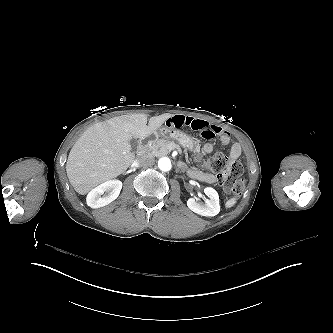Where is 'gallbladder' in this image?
Listing matches in <instances>:
<instances>
[{"mask_svg":"<svg viewBox=\"0 0 333 333\" xmlns=\"http://www.w3.org/2000/svg\"><path fill=\"white\" fill-rule=\"evenodd\" d=\"M131 149L132 151L136 152L138 150V141L135 139H132L130 141Z\"/></svg>","mask_w":333,"mask_h":333,"instance_id":"gallbladder-1","label":"gallbladder"}]
</instances>
